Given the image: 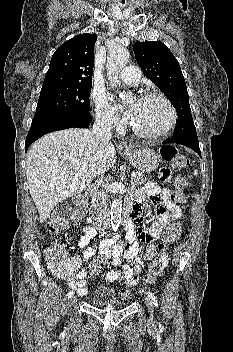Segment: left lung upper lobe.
Listing matches in <instances>:
<instances>
[{
	"instance_id": "5c2ea615",
	"label": "left lung upper lobe",
	"mask_w": 233,
	"mask_h": 352,
	"mask_svg": "<svg viewBox=\"0 0 233 352\" xmlns=\"http://www.w3.org/2000/svg\"><path fill=\"white\" fill-rule=\"evenodd\" d=\"M137 63L176 108L178 122L172 139L198 138L189 105V96L180 65L161 41L136 42L133 46Z\"/></svg>"
}]
</instances>
